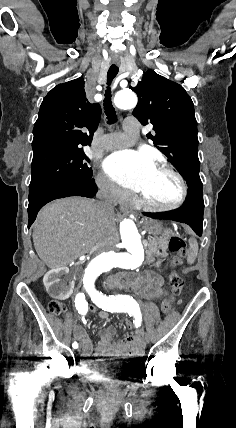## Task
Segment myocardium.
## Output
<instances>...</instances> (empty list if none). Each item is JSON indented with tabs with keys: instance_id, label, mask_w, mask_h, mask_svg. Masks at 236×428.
Returning a JSON list of instances; mask_svg holds the SVG:
<instances>
[{
	"instance_id": "myocardium-1",
	"label": "myocardium",
	"mask_w": 236,
	"mask_h": 428,
	"mask_svg": "<svg viewBox=\"0 0 236 428\" xmlns=\"http://www.w3.org/2000/svg\"><path fill=\"white\" fill-rule=\"evenodd\" d=\"M155 169H162V170L166 171L167 173H169L170 175H172L177 180V182L179 183V186H180L179 196L173 203L167 204V205H162V204L152 202V201L148 200L142 194H139L140 202L142 204H144L145 206H147L153 210L160 211V212H169V211H173V210L180 208L186 202L188 195H189V188H188V184H187L185 177L183 176V174L178 169H176L168 161L158 162L157 164H155Z\"/></svg>"
}]
</instances>
